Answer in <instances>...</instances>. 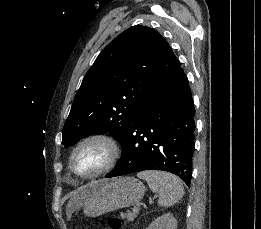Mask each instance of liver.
Wrapping results in <instances>:
<instances>
[{
	"label": "liver",
	"instance_id": "liver-1",
	"mask_svg": "<svg viewBox=\"0 0 261 229\" xmlns=\"http://www.w3.org/2000/svg\"><path fill=\"white\" fill-rule=\"evenodd\" d=\"M88 197V191L86 189V187H81V189H76V191H74V193H72V199L69 203V205H75V203H77V201H85V199H87Z\"/></svg>",
	"mask_w": 261,
	"mask_h": 229
}]
</instances>
